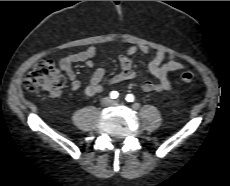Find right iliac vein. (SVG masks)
<instances>
[{"label":"right iliac vein","mask_w":230,"mask_h":186,"mask_svg":"<svg viewBox=\"0 0 230 186\" xmlns=\"http://www.w3.org/2000/svg\"><path fill=\"white\" fill-rule=\"evenodd\" d=\"M103 103L104 104H109L110 103V99L109 98L104 99Z\"/></svg>","instance_id":"1"}]
</instances>
